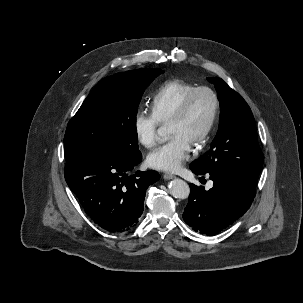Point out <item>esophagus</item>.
Returning <instances> with one entry per match:
<instances>
[{"instance_id": "1", "label": "esophagus", "mask_w": 303, "mask_h": 303, "mask_svg": "<svg viewBox=\"0 0 303 303\" xmlns=\"http://www.w3.org/2000/svg\"><path fill=\"white\" fill-rule=\"evenodd\" d=\"M163 178H164L165 180H170V179L175 178V176H174L173 174H168V173H166V174L163 175Z\"/></svg>"}]
</instances>
